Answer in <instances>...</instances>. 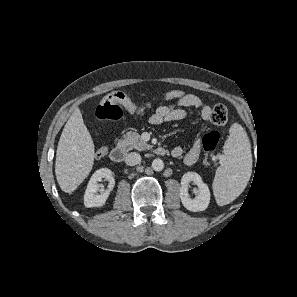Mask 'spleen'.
Listing matches in <instances>:
<instances>
[{
    "mask_svg": "<svg viewBox=\"0 0 297 297\" xmlns=\"http://www.w3.org/2000/svg\"><path fill=\"white\" fill-rule=\"evenodd\" d=\"M224 145V160L217 169L214 193L217 198L234 199L243 191L252 171L251 146L243 127L234 123Z\"/></svg>",
    "mask_w": 297,
    "mask_h": 297,
    "instance_id": "obj_1",
    "label": "spleen"
}]
</instances>
